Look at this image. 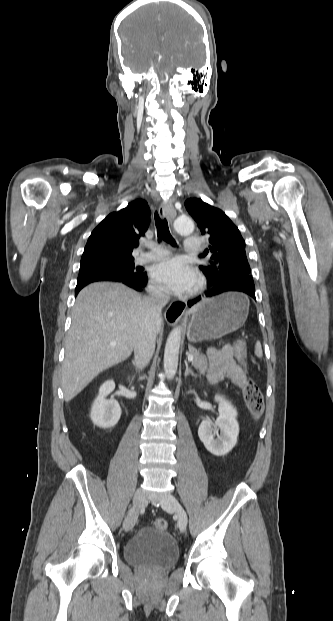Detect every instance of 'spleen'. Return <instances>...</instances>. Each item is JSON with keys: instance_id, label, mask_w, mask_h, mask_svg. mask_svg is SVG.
Returning <instances> with one entry per match:
<instances>
[{"instance_id": "obj_1", "label": "spleen", "mask_w": 333, "mask_h": 621, "mask_svg": "<svg viewBox=\"0 0 333 621\" xmlns=\"http://www.w3.org/2000/svg\"><path fill=\"white\" fill-rule=\"evenodd\" d=\"M254 352H255V355H256L258 358H262V356H263V352H262V348H261V344H260V342H257V343L255 344V351H254Z\"/></svg>"}]
</instances>
